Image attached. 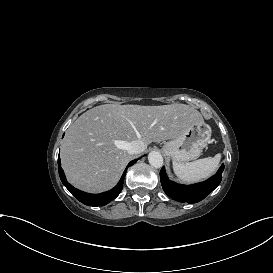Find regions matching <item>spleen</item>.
Here are the masks:
<instances>
[{
  "instance_id": "obj_1",
  "label": "spleen",
  "mask_w": 273,
  "mask_h": 273,
  "mask_svg": "<svg viewBox=\"0 0 273 273\" xmlns=\"http://www.w3.org/2000/svg\"><path fill=\"white\" fill-rule=\"evenodd\" d=\"M221 154L214 157L199 159L189 163L173 161V170L177 177L186 182H195L212 175L217 169Z\"/></svg>"
}]
</instances>
